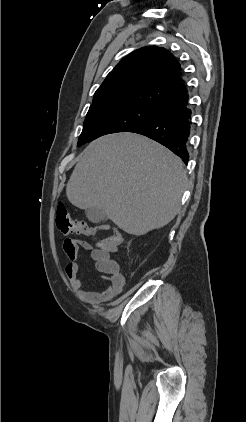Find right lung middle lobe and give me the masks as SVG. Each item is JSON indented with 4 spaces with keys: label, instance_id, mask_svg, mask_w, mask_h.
<instances>
[{
    "label": "right lung middle lobe",
    "instance_id": "right-lung-middle-lobe-1",
    "mask_svg": "<svg viewBox=\"0 0 246 422\" xmlns=\"http://www.w3.org/2000/svg\"><path fill=\"white\" fill-rule=\"evenodd\" d=\"M158 114L157 106L142 104H103L90 107L78 146L106 134L128 132Z\"/></svg>",
    "mask_w": 246,
    "mask_h": 422
}]
</instances>
